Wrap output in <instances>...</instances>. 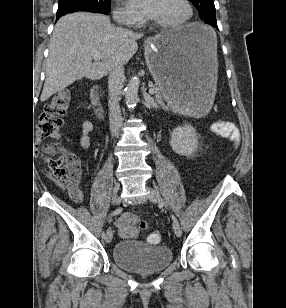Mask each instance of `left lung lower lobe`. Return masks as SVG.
I'll return each mask as SVG.
<instances>
[{"instance_id":"1","label":"left lung lower lobe","mask_w":286,"mask_h":308,"mask_svg":"<svg viewBox=\"0 0 286 308\" xmlns=\"http://www.w3.org/2000/svg\"><path fill=\"white\" fill-rule=\"evenodd\" d=\"M203 21H204L205 23L210 24V25H212V26H214L215 28L218 29V27H217V22H216V17H215V16L206 18V19H204Z\"/></svg>"}]
</instances>
